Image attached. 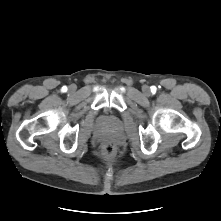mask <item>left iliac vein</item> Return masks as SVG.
<instances>
[{"instance_id":"left-iliac-vein-1","label":"left iliac vein","mask_w":221,"mask_h":221,"mask_svg":"<svg viewBox=\"0 0 221 221\" xmlns=\"http://www.w3.org/2000/svg\"><path fill=\"white\" fill-rule=\"evenodd\" d=\"M143 93L146 95V96H149L150 95V89L148 86H144L143 87Z\"/></svg>"}]
</instances>
